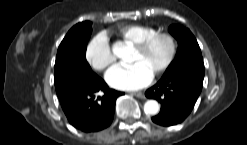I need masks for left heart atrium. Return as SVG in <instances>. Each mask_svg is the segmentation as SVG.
<instances>
[{
	"label": "left heart atrium",
	"instance_id": "obj_1",
	"mask_svg": "<svg viewBox=\"0 0 247 145\" xmlns=\"http://www.w3.org/2000/svg\"><path fill=\"white\" fill-rule=\"evenodd\" d=\"M153 74L141 63L116 65L106 74L110 86L121 90L142 88L152 81Z\"/></svg>",
	"mask_w": 247,
	"mask_h": 145
}]
</instances>
